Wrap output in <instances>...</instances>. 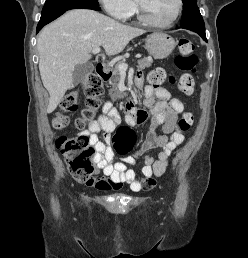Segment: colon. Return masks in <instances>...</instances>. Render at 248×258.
<instances>
[{
	"label": "colon",
	"mask_w": 248,
	"mask_h": 258,
	"mask_svg": "<svg viewBox=\"0 0 248 258\" xmlns=\"http://www.w3.org/2000/svg\"><path fill=\"white\" fill-rule=\"evenodd\" d=\"M178 51L179 53L175 59L177 68L187 72H196L198 59L193 53L194 43L188 38H181L178 42ZM165 79V71L159 68L151 70L147 75L148 82L153 86H160ZM194 87V78L190 73H185L179 78L178 88L184 95H192ZM102 90V79L97 74H90L84 78L80 91L86 96V107L75 121L77 129L82 130L86 123L93 119L100 106ZM80 91H73L61 100L59 110L52 119L54 128L63 129L67 126L68 117L66 114L76 108ZM193 122L194 115L191 112H186L179 121L178 127L180 131L185 132L190 129ZM56 144L66 159L68 171L74 179L79 182L95 180L92 163L95 147L91 144L88 136L83 134L75 138L61 136L57 139ZM114 144L120 155H127L133 145V131L127 126L120 127L114 136Z\"/></svg>",
	"instance_id": "colon-1"
}]
</instances>
